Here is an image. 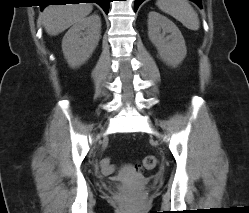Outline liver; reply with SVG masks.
I'll list each match as a JSON object with an SVG mask.
<instances>
[{"label": "liver", "mask_w": 249, "mask_h": 213, "mask_svg": "<svg viewBox=\"0 0 249 213\" xmlns=\"http://www.w3.org/2000/svg\"><path fill=\"white\" fill-rule=\"evenodd\" d=\"M91 3L49 5L40 14V20L49 35L55 36L91 13Z\"/></svg>", "instance_id": "6515ba94"}]
</instances>
